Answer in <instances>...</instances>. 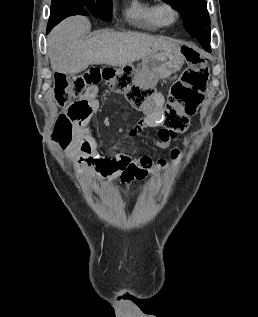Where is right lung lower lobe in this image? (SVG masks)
Wrapping results in <instances>:
<instances>
[{
	"mask_svg": "<svg viewBox=\"0 0 258 317\" xmlns=\"http://www.w3.org/2000/svg\"><path fill=\"white\" fill-rule=\"evenodd\" d=\"M96 15L95 9L81 0H60L51 4V15L47 26V33L61 20L72 15Z\"/></svg>",
	"mask_w": 258,
	"mask_h": 317,
	"instance_id": "98d812e1",
	"label": "right lung lower lobe"
}]
</instances>
